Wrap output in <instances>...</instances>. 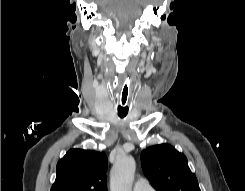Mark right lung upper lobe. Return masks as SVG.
Returning a JSON list of instances; mask_svg holds the SVG:
<instances>
[{"label": "right lung upper lobe", "instance_id": "1", "mask_svg": "<svg viewBox=\"0 0 245 191\" xmlns=\"http://www.w3.org/2000/svg\"><path fill=\"white\" fill-rule=\"evenodd\" d=\"M105 153L71 149L58 162L51 191H107Z\"/></svg>", "mask_w": 245, "mask_h": 191}]
</instances>
